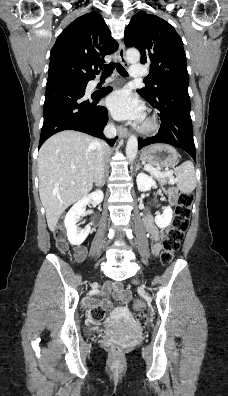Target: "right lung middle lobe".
I'll list each match as a JSON object with an SVG mask.
<instances>
[{
	"label": "right lung middle lobe",
	"instance_id": "1",
	"mask_svg": "<svg viewBox=\"0 0 228 396\" xmlns=\"http://www.w3.org/2000/svg\"><path fill=\"white\" fill-rule=\"evenodd\" d=\"M87 83H88V82L69 83V84H74V85H76V86H79V87L84 88V87H86Z\"/></svg>",
	"mask_w": 228,
	"mask_h": 396
}]
</instances>
